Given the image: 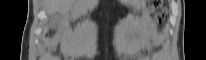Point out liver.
Wrapping results in <instances>:
<instances>
[{
	"instance_id": "6515ba94",
	"label": "liver",
	"mask_w": 206,
	"mask_h": 60,
	"mask_svg": "<svg viewBox=\"0 0 206 60\" xmlns=\"http://www.w3.org/2000/svg\"><path fill=\"white\" fill-rule=\"evenodd\" d=\"M78 0H45V4L49 14H65Z\"/></svg>"
}]
</instances>
